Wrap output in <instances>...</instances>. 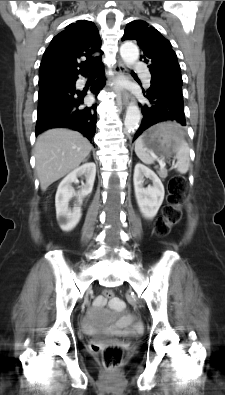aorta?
<instances>
[{
  "mask_svg": "<svg viewBox=\"0 0 225 395\" xmlns=\"http://www.w3.org/2000/svg\"><path fill=\"white\" fill-rule=\"evenodd\" d=\"M120 55L127 65L134 64L139 58L138 47L129 42H125L120 47ZM141 120V112L138 106L130 104L126 110L124 126L129 131H134Z\"/></svg>",
  "mask_w": 225,
  "mask_h": 395,
  "instance_id": "aorta-1",
  "label": "aorta"
}]
</instances>
